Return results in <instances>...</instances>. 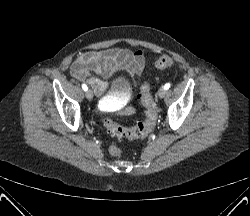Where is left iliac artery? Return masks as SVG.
<instances>
[{"label": "left iliac artery", "mask_w": 250, "mask_h": 216, "mask_svg": "<svg viewBox=\"0 0 250 216\" xmlns=\"http://www.w3.org/2000/svg\"><path fill=\"white\" fill-rule=\"evenodd\" d=\"M170 88V83H166L165 85H164V89L165 90H168Z\"/></svg>", "instance_id": "left-iliac-artery-1"}]
</instances>
